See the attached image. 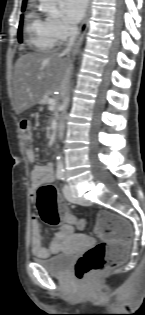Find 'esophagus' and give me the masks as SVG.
<instances>
[{
    "label": "esophagus",
    "mask_w": 145,
    "mask_h": 315,
    "mask_svg": "<svg viewBox=\"0 0 145 315\" xmlns=\"http://www.w3.org/2000/svg\"><path fill=\"white\" fill-rule=\"evenodd\" d=\"M90 6H91V0H88L87 1V7H86V13H85L83 22L81 24V27L79 29L78 35L75 39L73 51L78 50V48L80 47V45L83 42L86 30H87V26H88V19H89V15H90Z\"/></svg>",
    "instance_id": "1"
}]
</instances>
